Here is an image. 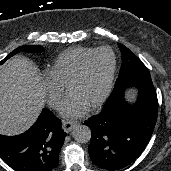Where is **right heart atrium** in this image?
I'll use <instances>...</instances> for the list:
<instances>
[{
    "instance_id": "d8ad5b80",
    "label": "right heart atrium",
    "mask_w": 171,
    "mask_h": 171,
    "mask_svg": "<svg viewBox=\"0 0 171 171\" xmlns=\"http://www.w3.org/2000/svg\"><path fill=\"white\" fill-rule=\"evenodd\" d=\"M42 87L45 91L48 104L53 108H58L65 91V86L50 72H45L42 75Z\"/></svg>"
}]
</instances>
